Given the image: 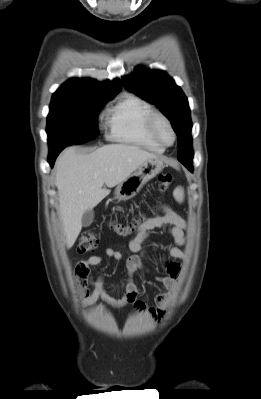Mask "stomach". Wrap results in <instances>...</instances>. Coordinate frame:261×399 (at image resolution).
Instances as JSON below:
<instances>
[{
	"label": "stomach",
	"instance_id": "0dacf381",
	"mask_svg": "<svg viewBox=\"0 0 261 399\" xmlns=\"http://www.w3.org/2000/svg\"><path fill=\"white\" fill-rule=\"evenodd\" d=\"M164 168L163 162L158 159H148L142 163L129 177L119 183L115 189V198L128 200L139 193L142 187L159 174Z\"/></svg>",
	"mask_w": 261,
	"mask_h": 399
}]
</instances>
